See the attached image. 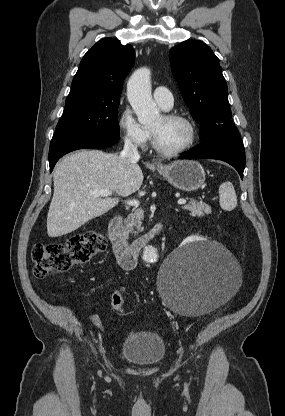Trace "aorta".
<instances>
[{
  "instance_id": "aorta-1",
  "label": "aorta",
  "mask_w": 285,
  "mask_h": 416,
  "mask_svg": "<svg viewBox=\"0 0 285 416\" xmlns=\"http://www.w3.org/2000/svg\"><path fill=\"white\" fill-rule=\"evenodd\" d=\"M127 97L141 124H150L159 117V110L151 95V76L148 68L137 69L127 83ZM143 258L153 261L155 248L145 247Z\"/></svg>"
}]
</instances>
